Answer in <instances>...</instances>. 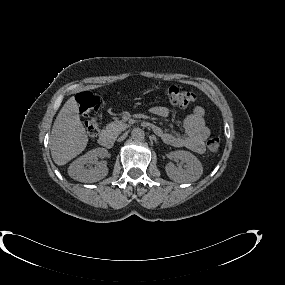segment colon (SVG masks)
Here are the masks:
<instances>
[{
    "label": "colon",
    "mask_w": 285,
    "mask_h": 285,
    "mask_svg": "<svg viewBox=\"0 0 285 285\" xmlns=\"http://www.w3.org/2000/svg\"><path fill=\"white\" fill-rule=\"evenodd\" d=\"M166 99L172 104L182 107L189 106L195 101V94L188 90H183L176 86H169L163 90ZM76 101L79 110L85 118V127L91 138L99 132V122L95 113L100 106V99L91 92H82L77 95ZM207 148L211 153H217L220 149L221 139L218 136L211 137L207 143Z\"/></svg>",
    "instance_id": "obj_1"
}]
</instances>
